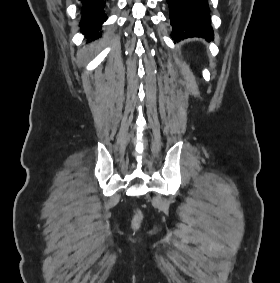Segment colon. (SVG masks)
<instances>
[{"label": "colon", "instance_id": "obj_1", "mask_svg": "<svg viewBox=\"0 0 280 283\" xmlns=\"http://www.w3.org/2000/svg\"><path fill=\"white\" fill-rule=\"evenodd\" d=\"M142 219H143V217H142L141 213L136 212L134 214L133 219H132L133 227H135V228L139 227L141 225V223H142Z\"/></svg>", "mask_w": 280, "mask_h": 283}]
</instances>
